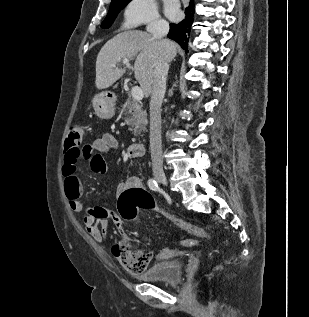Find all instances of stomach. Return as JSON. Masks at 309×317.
I'll use <instances>...</instances> for the list:
<instances>
[{
	"label": "stomach",
	"mask_w": 309,
	"mask_h": 317,
	"mask_svg": "<svg viewBox=\"0 0 309 317\" xmlns=\"http://www.w3.org/2000/svg\"><path fill=\"white\" fill-rule=\"evenodd\" d=\"M116 96L111 91H103L92 99V106L98 117L110 119L115 114Z\"/></svg>",
	"instance_id": "stomach-1"
}]
</instances>
